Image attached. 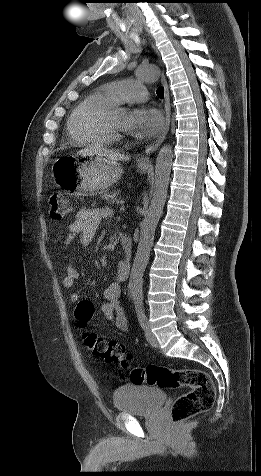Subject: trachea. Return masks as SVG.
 I'll list each match as a JSON object with an SVG mask.
<instances>
[{
	"label": "trachea",
	"instance_id": "3493384b",
	"mask_svg": "<svg viewBox=\"0 0 261 476\" xmlns=\"http://www.w3.org/2000/svg\"><path fill=\"white\" fill-rule=\"evenodd\" d=\"M157 96H158L159 98H161V99L164 98V88H163V87H159V88L157 89Z\"/></svg>",
	"mask_w": 261,
	"mask_h": 476
}]
</instances>
